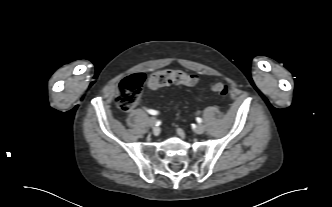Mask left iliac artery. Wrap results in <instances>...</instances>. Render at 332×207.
<instances>
[{
  "label": "left iliac artery",
  "instance_id": "1",
  "mask_svg": "<svg viewBox=\"0 0 332 207\" xmlns=\"http://www.w3.org/2000/svg\"><path fill=\"white\" fill-rule=\"evenodd\" d=\"M196 120H197L198 123H201V122H202V119L199 118V117H198Z\"/></svg>",
  "mask_w": 332,
  "mask_h": 207
}]
</instances>
